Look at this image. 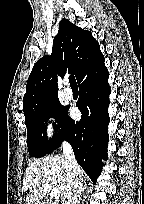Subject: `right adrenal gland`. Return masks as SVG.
Instances as JSON below:
<instances>
[{"instance_id": "obj_1", "label": "right adrenal gland", "mask_w": 144, "mask_h": 204, "mask_svg": "<svg viewBox=\"0 0 144 204\" xmlns=\"http://www.w3.org/2000/svg\"><path fill=\"white\" fill-rule=\"evenodd\" d=\"M85 189H86V186L83 187V192H84ZM79 201H80V199H79Z\"/></svg>"}]
</instances>
